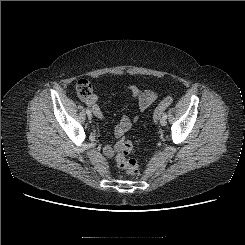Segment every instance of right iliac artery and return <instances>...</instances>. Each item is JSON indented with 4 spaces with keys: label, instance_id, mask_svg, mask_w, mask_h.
<instances>
[{
    "label": "right iliac artery",
    "instance_id": "obj_1",
    "mask_svg": "<svg viewBox=\"0 0 245 245\" xmlns=\"http://www.w3.org/2000/svg\"><path fill=\"white\" fill-rule=\"evenodd\" d=\"M86 113L87 114H90L91 113V110L89 108L86 109Z\"/></svg>",
    "mask_w": 245,
    "mask_h": 245
}]
</instances>
